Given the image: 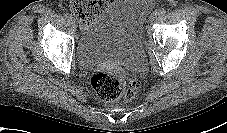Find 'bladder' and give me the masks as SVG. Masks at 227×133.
<instances>
[{
	"instance_id": "1",
	"label": "bladder",
	"mask_w": 227,
	"mask_h": 133,
	"mask_svg": "<svg viewBox=\"0 0 227 133\" xmlns=\"http://www.w3.org/2000/svg\"><path fill=\"white\" fill-rule=\"evenodd\" d=\"M154 0H113L78 39L76 56L82 68L117 64L131 71L145 65L143 32Z\"/></svg>"
}]
</instances>
